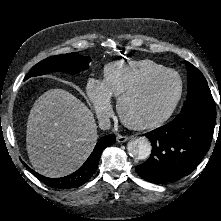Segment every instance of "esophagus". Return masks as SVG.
I'll list each match as a JSON object with an SVG mask.
<instances>
[{
	"label": "esophagus",
	"instance_id": "obj_1",
	"mask_svg": "<svg viewBox=\"0 0 221 221\" xmlns=\"http://www.w3.org/2000/svg\"><path fill=\"white\" fill-rule=\"evenodd\" d=\"M128 139H129V137H127V136H122V135H118V136H117V141H118L119 143H124V142H126Z\"/></svg>",
	"mask_w": 221,
	"mask_h": 221
}]
</instances>
